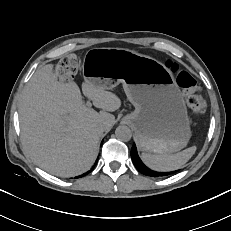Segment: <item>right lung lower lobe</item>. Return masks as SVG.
<instances>
[{"label": "right lung lower lobe", "instance_id": "obj_1", "mask_svg": "<svg viewBox=\"0 0 231 231\" xmlns=\"http://www.w3.org/2000/svg\"><path fill=\"white\" fill-rule=\"evenodd\" d=\"M96 163H97V161H96ZM96 163H95V165H96ZM95 165L93 166V168H92L89 172H91V171L95 168ZM89 172H87V173H85V174H83V175H81V176H78V177H76V178L83 177V176L87 175Z\"/></svg>", "mask_w": 231, "mask_h": 231}]
</instances>
